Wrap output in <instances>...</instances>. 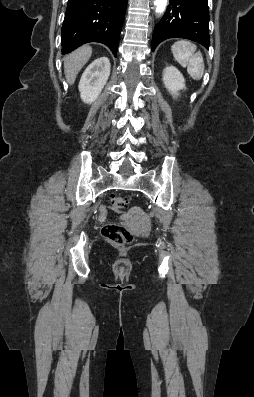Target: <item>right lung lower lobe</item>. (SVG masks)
<instances>
[{"label":"right lung lower lobe","instance_id":"right-lung-lower-lobe-1","mask_svg":"<svg viewBox=\"0 0 254 397\" xmlns=\"http://www.w3.org/2000/svg\"><path fill=\"white\" fill-rule=\"evenodd\" d=\"M128 0H68L62 26V54L100 42L117 55Z\"/></svg>","mask_w":254,"mask_h":397}]
</instances>
